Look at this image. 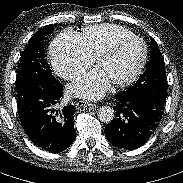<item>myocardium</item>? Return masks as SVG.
<instances>
[{"mask_svg":"<svg viewBox=\"0 0 183 183\" xmlns=\"http://www.w3.org/2000/svg\"><path fill=\"white\" fill-rule=\"evenodd\" d=\"M130 40H136L138 42H140L142 44L143 47V54L142 57L140 59L139 64L137 65V67L135 68V70L126 78L116 81L113 83V86L115 88H123L126 87L130 84H132L133 82H135L137 80V78L140 76V74L142 73L146 62H147V57H148V47L146 42L136 36V35H130V36H125V37H121L117 40H115L112 44H110L108 47H106L104 50H102L101 52H99L96 57L94 58V62L97 65L102 59L107 58L109 56H111L112 54H114L116 52V50L125 42L130 41Z\"/></svg>","mask_w":183,"mask_h":183,"instance_id":"myocardium-1","label":"myocardium"}]
</instances>
